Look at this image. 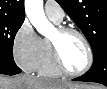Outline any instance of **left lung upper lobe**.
Listing matches in <instances>:
<instances>
[{
	"label": "left lung upper lobe",
	"mask_w": 107,
	"mask_h": 89,
	"mask_svg": "<svg viewBox=\"0 0 107 89\" xmlns=\"http://www.w3.org/2000/svg\"><path fill=\"white\" fill-rule=\"evenodd\" d=\"M88 39L93 55L107 48V0H57Z\"/></svg>",
	"instance_id": "1"
}]
</instances>
